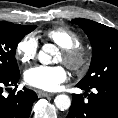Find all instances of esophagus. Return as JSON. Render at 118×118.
<instances>
[{
	"instance_id": "esophagus-1",
	"label": "esophagus",
	"mask_w": 118,
	"mask_h": 118,
	"mask_svg": "<svg viewBox=\"0 0 118 118\" xmlns=\"http://www.w3.org/2000/svg\"><path fill=\"white\" fill-rule=\"evenodd\" d=\"M53 93L45 92V91H38V96L40 97H50L53 96Z\"/></svg>"
}]
</instances>
